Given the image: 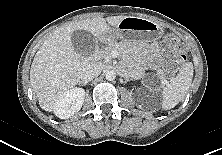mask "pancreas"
<instances>
[{"label": "pancreas", "mask_w": 222, "mask_h": 155, "mask_svg": "<svg viewBox=\"0 0 222 155\" xmlns=\"http://www.w3.org/2000/svg\"><path fill=\"white\" fill-rule=\"evenodd\" d=\"M120 45L119 44H114L112 46H109L103 50H100L97 52V57L102 58L104 63L106 64H111L112 63V58H111V52L117 50L119 51ZM126 61L128 62V69H127V75L130 77H135L136 75L142 73L143 67L135 62L131 56L126 55ZM157 75L160 78H164V73L162 70L157 71Z\"/></svg>", "instance_id": "1"}]
</instances>
